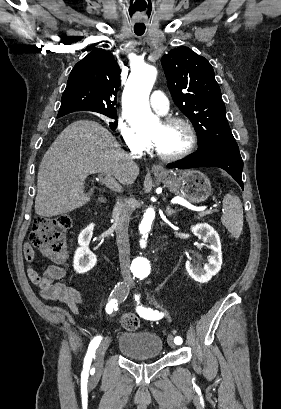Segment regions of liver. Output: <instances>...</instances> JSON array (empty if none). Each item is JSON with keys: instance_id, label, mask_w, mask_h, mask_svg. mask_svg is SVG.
Listing matches in <instances>:
<instances>
[{"instance_id": "liver-1", "label": "liver", "mask_w": 281, "mask_h": 409, "mask_svg": "<svg viewBox=\"0 0 281 409\" xmlns=\"http://www.w3.org/2000/svg\"><path fill=\"white\" fill-rule=\"evenodd\" d=\"M93 172L114 174L121 184H132L139 166L102 124L76 120L58 134L40 162L36 215L56 217L86 205L91 192H84V184Z\"/></svg>"}]
</instances>
